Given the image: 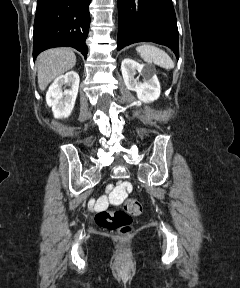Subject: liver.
<instances>
[{
  "label": "liver",
  "instance_id": "6515ba94",
  "mask_svg": "<svg viewBox=\"0 0 240 288\" xmlns=\"http://www.w3.org/2000/svg\"><path fill=\"white\" fill-rule=\"evenodd\" d=\"M76 64L74 52L67 48H54L42 52L37 58L38 86L44 91L49 83Z\"/></svg>",
  "mask_w": 240,
  "mask_h": 288
}]
</instances>
